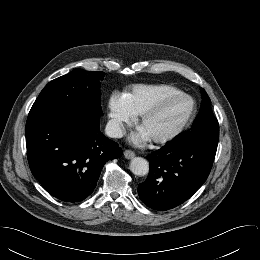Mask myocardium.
Masks as SVG:
<instances>
[{"instance_id":"myocardium-1","label":"myocardium","mask_w":260,"mask_h":260,"mask_svg":"<svg viewBox=\"0 0 260 260\" xmlns=\"http://www.w3.org/2000/svg\"><path fill=\"white\" fill-rule=\"evenodd\" d=\"M177 98H184L189 101L190 106L188 109V112L186 113L185 117L181 120V122L174 127L173 129L169 130L166 133H163L161 135L152 136L151 140L158 144H164L169 141H172L173 139L177 138L180 134L184 132V130L189 126L191 121L193 120L197 106L194 98L190 96L187 93L184 92H177L170 94L168 96H165L161 99H159L157 102H155L152 106H150L148 109H146L144 112L141 113L140 116V126H143V124L153 115H155L164 105L169 103L170 101L177 99Z\"/></svg>"}]
</instances>
